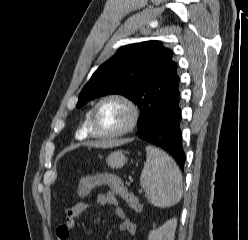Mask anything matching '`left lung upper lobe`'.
<instances>
[{
	"label": "left lung upper lobe",
	"mask_w": 248,
	"mask_h": 240,
	"mask_svg": "<svg viewBox=\"0 0 248 240\" xmlns=\"http://www.w3.org/2000/svg\"><path fill=\"white\" fill-rule=\"evenodd\" d=\"M177 69L173 52L160 41L123 46L93 73L76 107L102 95H124L140 110L141 132L163 106L179 98Z\"/></svg>",
	"instance_id": "left-lung-upper-lobe-1"
}]
</instances>
